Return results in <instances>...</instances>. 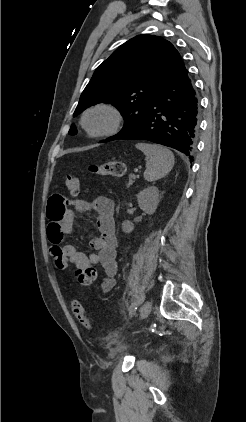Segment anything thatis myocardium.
<instances>
[{
    "instance_id": "1",
    "label": "myocardium",
    "mask_w": 246,
    "mask_h": 422,
    "mask_svg": "<svg viewBox=\"0 0 246 422\" xmlns=\"http://www.w3.org/2000/svg\"><path fill=\"white\" fill-rule=\"evenodd\" d=\"M105 112L109 116V123L103 129L93 131L87 125V118L94 112ZM81 127L91 137L100 138L116 134L122 127L123 116L120 110L110 103H97L88 107L81 116Z\"/></svg>"
}]
</instances>
